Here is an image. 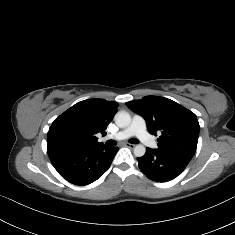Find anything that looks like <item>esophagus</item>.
Returning a JSON list of instances; mask_svg holds the SVG:
<instances>
[{
    "label": "esophagus",
    "mask_w": 235,
    "mask_h": 235,
    "mask_svg": "<svg viewBox=\"0 0 235 235\" xmlns=\"http://www.w3.org/2000/svg\"><path fill=\"white\" fill-rule=\"evenodd\" d=\"M124 145H125L126 147L131 148V149H133V148L135 147V145H134V144H131V143H124Z\"/></svg>",
    "instance_id": "esophagus-1"
}]
</instances>
